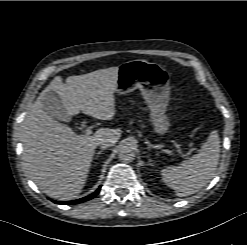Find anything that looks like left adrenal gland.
<instances>
[{
  "mask_svg": "<svg viewBox=\"0 0 247 245\" xmlns=\"http://www.w3.org/2000/svg\"><path fill=\"white\" fill-rule=\"evenodd\" d=\"M148 158H149V159H148L149 164H150V165H153L152 159L150 158V156H148Z\"/></svg>",
  "mask_w": 247,
  "mask_h": 245,
  "instance_id": "1",
  "label": "left adrenal gland"
}]
</instances>
